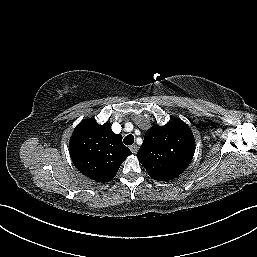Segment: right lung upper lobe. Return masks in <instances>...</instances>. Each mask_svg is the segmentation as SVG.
Listing matches in <instances>:
<instances>
[{
	"label": "right lung upper lobe",
	"mask_w": 257,
	"mask_h": 257,
	"mask_svg": "<svg viewBox=\"0 0 257 257\" xmlns=\"http://www.w3.org/2000/svg\"><path fill=\"white\" fill-rule=\"evenodd\" d=\"M69 153L76 168L85 176L108 182L132 152L122 143V136L112 132L108 123L94 119L82 121L74 130Z\"/></svg>",
	"instance_id": "cb5924a9"
}]
</instances>
